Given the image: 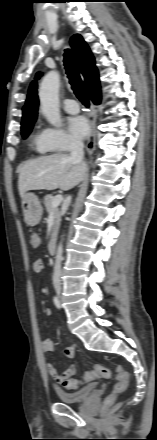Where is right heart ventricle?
Returning <instances> with one entry per match:
<instances>
[{"label": "right heart ventricle", "mask_w": 157, "mask_h": 440, "mask_svg": "<svg viewBox=\"0 0 157 440\" xmlns=\"http://www.w3.org/2000/svg\"><path fill=\"white\" fill-rule=\"evenodd\" d=\"M31 143L34 149L42 154H47L52 151L45 140L44 131L36 130L31 138Z\"/></svg>", "instance_id": "e07e8e85"}]
</instances>
